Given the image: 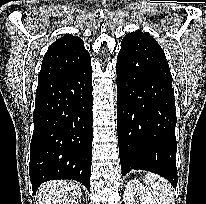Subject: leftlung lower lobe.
Returning a JSON list of instances; mask_svg holds the SVG:
<instances>
[{
	"instance_id": "obj_1",
	"label": "left lung lower lobe",
	"mask_w": 206,
	"mask_h": 204,
	"mask_svg": "<svg viewBox=\"0 0 206 204\" xmlns=\"http://www.w3.org/2000/svg\"><path fill=\"white\" fill-rule=\"evenodd\" d=\"M117 131L122 175L157 173L177 185L174 92L169 68L141 61L137 70L117 57Z\"/></svg>"
}]
</instances>
